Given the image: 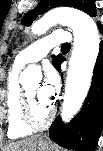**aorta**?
Segmentation results:
<instances>
[{
    "label": "aorta",
    "instance_id": "aorta-1",
    "mask_svg": "<svg viewBox=\"0 0 103 151\" xmlns=\"http://www.w3.org/2000/svg\"><path fill=\"white\" fill-rule=\"evenodd\" d=\"M70 27L74 33L68 77L61 116L68 122L79 112L90 89L94 66L99 53L100 37L93 19L82 11L72 8H55L47 12L32 26L34 34H44L56 24ZM35 70L28 67L23 73L27 77Z\"/></svg>",
    "mask_w": 103,
    "mask_h": 151
}]
</instances>
